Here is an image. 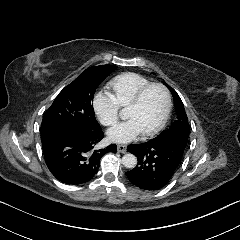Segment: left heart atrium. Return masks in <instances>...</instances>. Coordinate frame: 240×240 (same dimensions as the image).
<instances>
[{
	"label": "left heart atrium",
	"instance_id": "1",
	"mask_svg": "<svg viewBox=\"0 0 240 240\" xmlns=\"http://www.w3.org/2000/svg\"><path fill=\"white\" fill-rule=\"evenodd\" d=\"M141 133L140 128L133 120H127L108 133L110 141L127 143L134 140Z\"/></svg>",
	"mask_w": 240,
	"mask_h": 240
}]
</instances>
